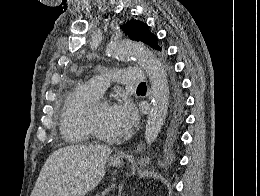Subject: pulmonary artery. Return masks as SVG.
<instances>
[{
  "instance_id": "1",
  "label": "pulmonary artery",
  "mask_w": 260,
  "mask_h": 196,
  "mask_svg": "<svg viewBox=\"0 0 260 196\" xmlns=\"http://www.w3.org/2000/svg\"><path fill=\"white\" fill-rule=\"evenodd\" d=\"M106 81H111V84H146V79L141 76V69H103L102 76H95L91 80L93 88L100 96L105 92L107 85Z\"/></svg>"
}]
</instances>
